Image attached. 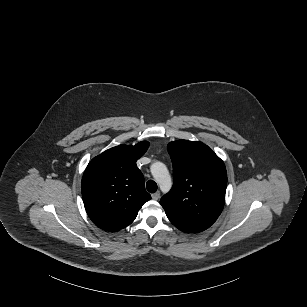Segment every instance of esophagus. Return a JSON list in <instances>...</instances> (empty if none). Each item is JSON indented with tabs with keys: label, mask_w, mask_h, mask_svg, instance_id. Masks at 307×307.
I'll list each match as a JSON object with an SVG mask.
<instances>
[{
	"label": "esophagus",
	"mask_w": 307,
	"mask_h": 307,
	"mask_svg": "<svg viewBox=\"0 0 307 307\" xmlns=\"http://www.w3.org/2000/svg\"><path fill=\"white\" fill-rule=\"evenodd\" d=\"M159 197H160V192H156V193H153V194H152V199H153V200H158Z\"/></svg>",
	"instance_id": "esophagus-1"
}]
</instances>
